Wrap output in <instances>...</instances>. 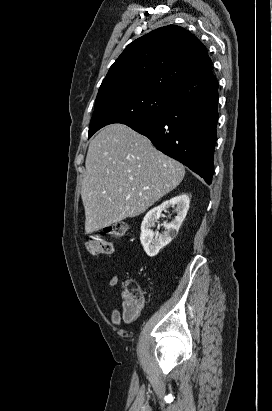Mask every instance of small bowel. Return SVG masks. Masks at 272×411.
Segmentation results:
<instances>
[{"mask_svg": "<svg viewBox=\"0 0 272 411\" xmlns=\"http://www.w3.org/2000/svg\"><path fill=\"white\" fill-rule=\"evenodd\" d=\"M119 277L117 274H113L108 282L110 289L114 290L118 286ZM122 314L118 308H113L111 312V320L113 325L118 326L121 323Z\"/></svg>", "mask_w": 272, "mask_h": 411, "instance_id": "obj_1", "label": "small bowel"}]
</instances>
